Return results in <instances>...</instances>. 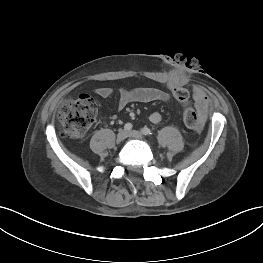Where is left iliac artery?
Masks as SVG:
<instances>
[{
  "label": "left iliac artery",
  "mask_w": 263,
  "mask_h": 263,
  "mask_svg": "<svg viewBox=\"0 0 263 263\" xmlns=\"http://www.w3.org/2000/svg\"><path fill=\"white\" fill-rule=\"evenodd\" d=\"M141 132L144 134V135H151L152 134V131L147 128V127H144L141 129Z\"/></svg>",
  "instance_id": "left-iliac-artery-1"
}]
</instances>
